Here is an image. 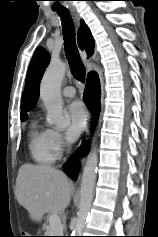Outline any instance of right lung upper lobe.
<instances>
[{
    "mask_svg": "<svg viewBox=\"0 0 158 237\" xmlns=\"http://www.w3.org/2000/svg\"><path fill=\"white\" fill-rule=\"evenodd\" d=\"M78 43L81 48H85L89 55L93 53L94 39L88 26L81 21L78 34ZM50 55L43 48L36 51L30 65L27 76V83L31 94L24 93L21 102V116H27V111L32 110L39 99V83L43 73L49 63Z\"/></svg>",
    "mask_w": 158,
    "mask_h": 237,
    "instance_id": "cb5924a9",
    "label": "right lung upper lobe"
}]
</instances>
